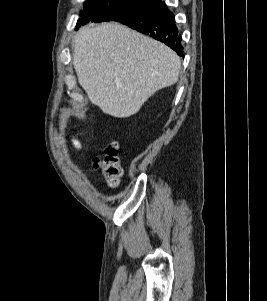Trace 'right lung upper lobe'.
Here are the masks:
<instances>
[{
    "label": "right lung upper lobe",
    "mask_w": 267,
    "mask_h": 301,
    "mask_svg": "<svg viewBox=\"0 0 267 301\" xmlns=\"http://www.w3.org/2000/svg\"><path fill=\"white\" fill-rule=\"evenodd\" d=\"M150 2L151 5L159 3L161 0H147Z\"/></svg>",
    "instance_id": "right-lung-upper-lobe-1"
}]
</instances>
